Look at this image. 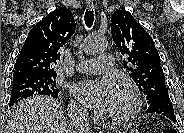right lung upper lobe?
Returning <instances> with one entry per match:
<instances>
[{
    "instance_id": "cb5924a9",
    "label": "right lung upper lobe",
    "mask_w": 184,
    "mask_h": 133,
    "mask_svg": "<svg viewBox=\"0 0 184 133\" xmlns=\"http://www.w3.org/2000/svg\"><path fill=\"white\" fill-rule=\"evenodd\" d=\"M72 13L66 7L50 12L28 33L16 60L13 78L20 76H57L53 66L60 59L59 50L74 34Z\"/></svg>"
}]
</instances>
